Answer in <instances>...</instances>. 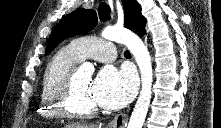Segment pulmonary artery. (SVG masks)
I'll use <instances>...</instances> for the list:
<instances>
[{"mask_svg":"<svg viewBox=\"0 0 221 128\" xmlns=\"http://www.w3.org/2000/svg\"><path fill=\"white\" fill-rule=\"evenodd\" d=\"M81 55L82 59L92 58L100 62H111L118 56L116 44L112 41H104L95 36H82L71 41Z\"/></svg>","mask_w":221,"mask_h":128,"instance_id":"pulmonary-artery-1","label":"pulmonary artery"}]
</instances>
